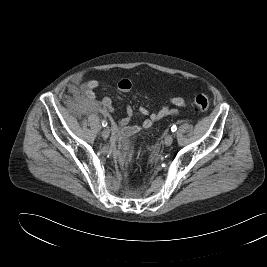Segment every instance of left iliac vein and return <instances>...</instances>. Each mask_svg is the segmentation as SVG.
<instances>
[{
    "instance_id": "1",
    "label": "left iliac vein",
    "mask_w": 267,
    "mask_h": 267,
    "mask_svg": "<svg viewBox=\"0 0 267 267\" xmlns=\"http://www.w3.org/2000/svg\"><path fill=\"white\" fill-rule=\"evenodd\" d=\"M164 143L166 146H170L173 143V135L172 134H168L165 137Z\"/></svg>"
}]
</instances>
